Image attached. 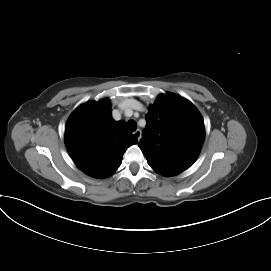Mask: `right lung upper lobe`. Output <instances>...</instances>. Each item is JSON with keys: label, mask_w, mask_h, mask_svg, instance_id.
<instances>
[{"label": "right lung upper lobe", "mask_w": 271, "mask_h": 271, "mask_svg": "<svg viewBox=\"0 0 271 271\" xmlns=\"http://www.w3.org/2000/svg\"><path fill=\"white\" fill-rule=\"evenodd\" d=\"M110 101L85 103L69 117L65 144L77 167L89 176L105 178L121 165L124 152L137 138L123 121L111 118Z\"/></svg>", "instance_id": "1"}]
</instances>
